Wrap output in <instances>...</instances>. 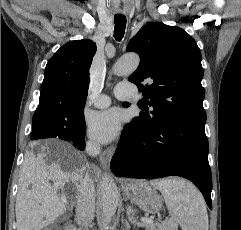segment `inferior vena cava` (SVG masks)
<instances>
[{"instance_id": "inferior-vena-cava-1", "label": "inferior vena cava", "mask_w": 241, "mask_h": 230, "mask_svg": "<svg viewBox=\"0 0 241 230\" xmlns=\"http://www.w3.org/2000/svg\"><path fill=\"white\" fill-rule=\"evenodd\" d=\"M89 154L100 151L98 144H88ZM95 209V187L92 179L86 174L80 182L78 201L76 206V221L78 224L88 228L94 217Z\"/></svg>"}]
</instances>
